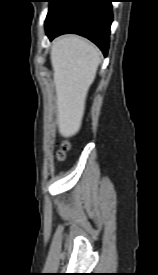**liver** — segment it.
Listing matches in <instances>:
<instances>
[{"label":"liver","instance_id":"liver-1","mask_svg":"<svg viewBox=\"0 0 158 275\" xmlns=\"http://www.w3.org/2000/svg\"><path fill=\"white\" fill-rule=\"evenodd\" d=\"M100 50L89 41L66 35L51 47L59 133L72 137L81 128L88 90L101 62Z\"/></svg>","mask_w":158,"mask_h":275}]
</instances>
